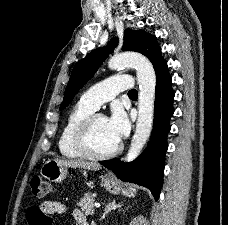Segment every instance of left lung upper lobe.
Segmentation results:
<instances>
[{"mask_svg": "<svg viewBox=\"0 0 228 225\" xmlns=\"http://www.w3.org/2000/svg\"><path fill=\"white\" fill-rule=\"evenodd\" d=\"M117 44L118 40L114 38L106 47L97 48L75 64L60 110H63L69 105L79 89L94 75L105 58L113 52ZM123 50L135 51L145 55L153 66L157 65L163 59L156 37L144 30L131 31L130 29H126L124 32Z\"/></svg>", "mask_w": 228, "mask_h": 225, "instance_id": "1", "label": "left lung upper lobe"}]
</instances>
